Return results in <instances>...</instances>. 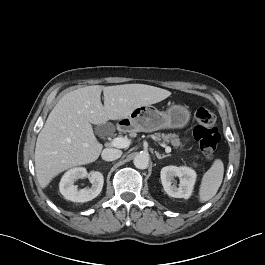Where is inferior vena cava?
<instances>
[{
    "label": "inferior vena cava",
    "mask_w": 265,
    "mask_h": 265,
    "mask_svg": "<svg viewBox=\"0 0 265 265\" xmlns=\"http://www.w3.org/2000/svg\"><path fill=\"white\" fill-rule=\"evenodd\" d=\"M122 155V151L114 148H105L102 151L101 157L105 161H114L120 158Z\"/></svg>",
    "instance_id": "obj_1"
}]
</instances>
